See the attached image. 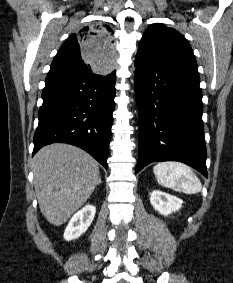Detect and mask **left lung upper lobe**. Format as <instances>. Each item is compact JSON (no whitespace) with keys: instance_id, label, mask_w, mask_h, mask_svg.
<instances>
[{"instance_id":"obj_1","label":"left lung upper lobe","mask_w":233,"mask_h":283,"mask_svg":"<svg viewBox=\"0 0 233 283\" xmlns=\"http://www.w3.org/2000/svg\"><path fill=\"white\" fill-rule=\"evenodd\" d=\"M137 55L156 62L197 65L191 46L184 36L160 23L147 28L139 43Z\"/></svg>"}]
</instances>
